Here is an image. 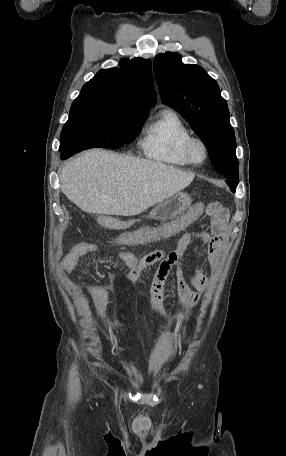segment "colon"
Returning a JSON list of instances; mask_svg holds the SVG:
<instances>
[{
  "instance_id": "5ec220e1",
  "label": "colon",
  "mask_w": 286,
  "mask_h": 456,
  "mask_svg": "<svg viewBox=\"0 0 286 456\" xmlns=\"http://www.w3.org/2000/svg\"><path fill=\"white\" fill-rule=\"evenodd\" d=\"M207 206H208L209 210H212V211L218 210L221 208V204L217 201L209 202Z\"/></svg>"
}]
</instances>
